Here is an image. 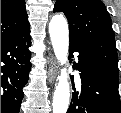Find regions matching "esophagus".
Masks as SVG:
<instances>
[{"label": "esophagus", "instance_id": "esophagus-1", "mask_svg": "<svg viewBox=\"0 0 121 113\" xmlns=\"http://www.w3.org/2000/svg\"><path fill=\"white\" fill-rule=\"evenodd\" d=\"M57 73V64L54 57H51V62L49 64L48 77L49 82L52 84L55 81Z\"/></svg>", "mask_w": 121, "mask_h": 113}]
</instances>
